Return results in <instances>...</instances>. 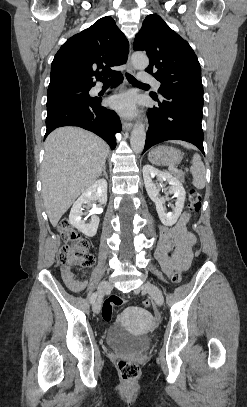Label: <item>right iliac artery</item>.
<instances>
[{
	"label": "right iliac artery",
	"mask_w": 247,
	"mask_h": 407,
	"mask_svg": "<svg viewBox=\"0 0 247 407\" xmlns=\"http://www.w3.org/2000/svg\"><path fill=\"white\" fill-rule=\"evenodd\" d=\"M98 292H94L91 297H90V302L91 304H94L96 298H97Z\"/></svg>",
	"instance_id": "1"
}]
</instances>
